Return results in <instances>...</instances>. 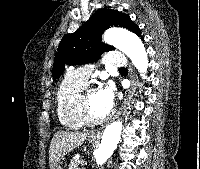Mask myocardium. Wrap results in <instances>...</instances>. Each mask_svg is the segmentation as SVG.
<instances>
[{"mask_svg":"<svg viewBox=\"0 0 200 169\" xmlns=\"http://www.w3.org/2000/svg\"><path fill=\"white\" fill-rule=\"evenodd\" d=\"M97 89L95 87H86L84 88L79 96H78V106H79V112L80 117L84 125L86 126H97L100 124H103L106 122L112 115V109L102 118L94 119L89 111L88 105H87V95L91 92L96 91Z\"/></svg>","mask_w":200,"mask_h":169,"instance_id":"1","label":"myocardium"}]
</instances>
